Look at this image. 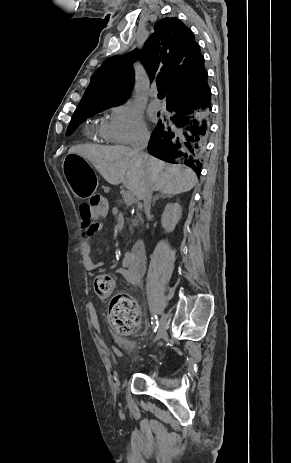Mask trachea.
Returning a JSON list of instances; mask_svg holds the SVG:
<instances>
[{
  "mask_svg": "<svg viewBox=\"0 0 291 463\" xmlns=\"http://www.w3.org/2000/svg\"><path fill=\"white\" fill-rule=\"evenodd\" d=\"M158 97H159L160 99H163V98L165 97V92H159V93H158Z\"/></svg>",
  "mask_w": 291,
  "mask_h": 463,
  "instance_id": "trachea-1",
  "label": "trachea"
}]
</instances>
